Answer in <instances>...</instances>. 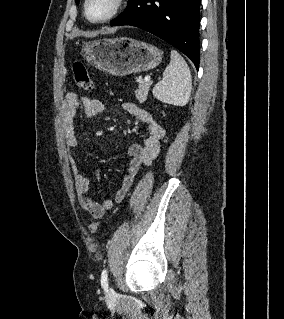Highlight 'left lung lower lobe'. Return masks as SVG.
<instances>
[{
	"instance_id": "left-lung-lower-lobe-1",
	"label": "left lung lower lobe",
	"mask_w": 284,
	"mask_h": 319,
	"mask_svg": "<svg viewBox=\"0 0 284 319\" xmlns=\"http://www.w3.org/2000/svg\"><path fill=\"white\" fill-rule=\"evenodd\" d=\"M200 0H131L111 26L146 30L183 52L199 68Z\"/></svg>"
}]
</instances>
